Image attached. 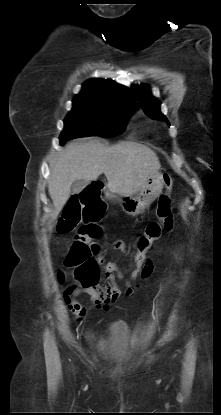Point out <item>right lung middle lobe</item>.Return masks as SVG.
<instances>
[{
    "label": "right lung middle lobe",
    "instance_id": "obj_1",
    "mask_svg": "<svg viewBox=\"0 0 221 415\" xmlns=\"http://www.w3.org/2000/svg\"><path fill=\"white\" fill-rule=\"evenodd\" d=\"M132 109L101 106L91 103H75L64 120L60 143L77 137H113L124 132Z\"/></svg>",
    "mask_w": 221,
    "mask_h": 415
}]
</instances>
